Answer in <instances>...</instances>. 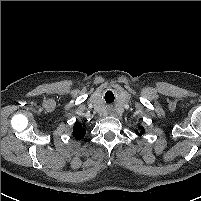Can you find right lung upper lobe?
I'll list each match as a JSON object with an SVG mask.
<instances>
[{
	"label": "right lung upper lobe",
	"instance_id": "1",
	"mask_svg": "<svg viewBox=\"0 0 201 201\" xmlns=\"http://www.w3.org/2000/svg\"><path fill=\"white\" fill-rule=\"evenodd\" d=\"M86 133V130L84 129V127L82 126L81 123H76L73 127V136L77 139V140H81L84 135Z\"/></svg>",
	"mask_w": 201,
	"mask_h": 201
}]
</instances>
